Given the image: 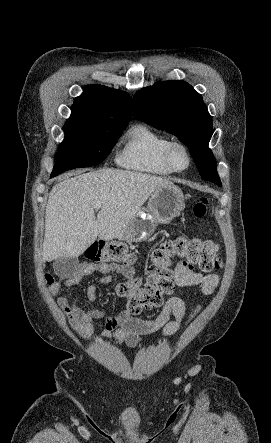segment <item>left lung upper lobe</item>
I'll list each match as a JSON object with an SVG mask.
<instances>
[{
	"instance_id": "1",
	"label": "left lung upper lobe",
	"mask_w": 271,
	"mask_h": 443,
	"mask_svg": "<svg viewBox=\"0 0 271 443\" xmlns=\"http://www.w3.org/2000/svg\"><path fill=\"white\" fill-rule=\"evenodd\" d=\"M133 110L139 120L179 137L191 150L201 177L221 186L215 157L208 148L212 118L190 84L172 80L143 88L134 95Z\"/></svg>"
}]
</instances>
